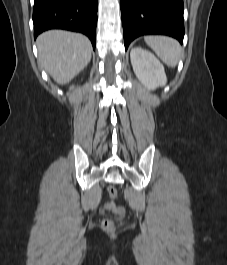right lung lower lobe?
<instances>
[{
	"mask_svg": "<svg viewBox=\"0 0 227 265\" xmlns=\"http://www.w3.org/2000/svg\"><path fill=\"white\" fill-rule=\"evenodd\" d=\"M98 0H34V38L58 28L81 32L95 49Z\"/></svg>",
	"mask_w": 227,
	"mask_h": 265,
	"instance_id": "1",
	"label": "right lung lower lobe"
}]
</instances>
